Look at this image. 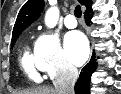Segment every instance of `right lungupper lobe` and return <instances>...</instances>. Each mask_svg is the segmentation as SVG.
Masks as SVG:
<instances>
[{"mask_svg": "<svg viewBox=\"0 0 121 94\" xmlns=\"http://www.w3.org/2000/svg\"><path fill=\"white\" fill-rule=\"evenodd\" d=\"M86 10L91 9L92 0H79ZM44 8L43 0H28L19 11L14 28L13 35L22 32L26 27L38 19Z\"/></svg>", "mask_w": 121, "mask_h": 94, "instance_id": "cb5924a9", "label": "right lung upper lobe"}]
</instances>
